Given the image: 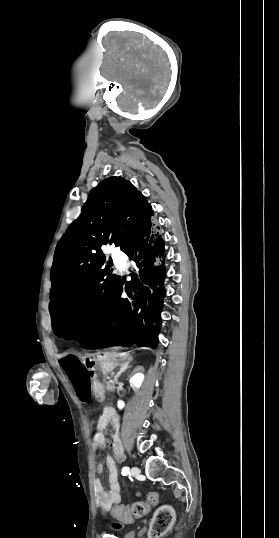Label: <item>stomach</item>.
I'll return each instance as SVG.
<instances>
[{
  "mask_svg": "<svg viewBox=\"0 0 279 538\" xmlns=\"http://www.w3.org/2000/svg\"><path fill=\"white\" fill-rule=\"evenodd\" d=\"M128 356L127 354H121L116 352H104V353H97L96 355V362L97 364H100V372L104 370L106 374H113L115 372L116 366H119V364H122V362H125L127 360ZM103 380H106V377H103ZM94 390L93 393L97 395V398L99 400H104L106 398V393L104 392L106 389L105 384L102 382V380L97 379L94 382Z\"/></svg>",
  "mask_w": 279,
  "mask_h": 538,
  "instance_id": "1",
  "label": "stomach"
}]
</instances>
